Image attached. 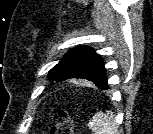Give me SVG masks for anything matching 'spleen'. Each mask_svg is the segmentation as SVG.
<instances>
[{
  "mask_svg": "<svg viewBox=\"0 0 153 134\" xmlns=\"http://www.w3.org/2000/svg\"><path fill=\"white\" fill-rule=\"evenodd\" d=\"M88 126L94 134H116L118 128L112 111L96 112Z\"/></svg>",
  "mask_w": 153,
  "mask_h": 134,
  "instance_id": "1",
  "label": "spleen"
}]
</instances>
